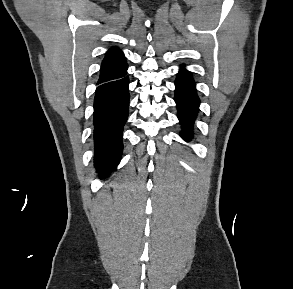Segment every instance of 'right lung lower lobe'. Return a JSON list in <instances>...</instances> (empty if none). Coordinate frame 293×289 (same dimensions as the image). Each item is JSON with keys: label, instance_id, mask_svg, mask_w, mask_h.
<instances>
[{"label": "right lung lower lobe", "instance_id": "right-lung-lower-lobe-1", "mask_svg": "<svg viewBox=\"0 0 293 289\" xmlns=\"http://www.w3.org/2000/svg\"><path fill=\"white\" fill-rule=\"evenodd\" d=\"M128 77L100 84L94 98V162L100 177L116 168L129 111Z\"/></svg>", "mask_w": 293, "mask_h": 289}]
</instances>
